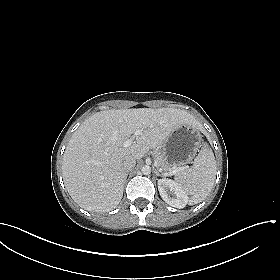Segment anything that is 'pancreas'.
<instances>
[{
	"label": "pancreas",
	"instance_id": "cf45deb5",
	"mask_svg": "<svg viewBox=\"0 0 280 280\" xmlns=\"http://www.w3.org/2000/svg\"><path fill=\"white\" fill-rule=\"evenodd\" d=\"M153 157H154L156 167L159 170L165 172V174H168L173 170V168L169 165V163L166 162V160L164 159L161 150L159 149L155 150L153 153Z\"/></svg>",
	"mask_w": 280,
	"mask_h": 280
}]
</instances>
